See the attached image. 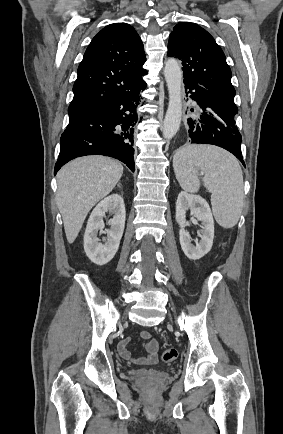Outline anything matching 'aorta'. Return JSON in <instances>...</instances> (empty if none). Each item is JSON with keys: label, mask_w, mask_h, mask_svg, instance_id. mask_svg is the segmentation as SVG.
<instances>
[{"label": "aorta", "mask_w": 283, "mask_h": 434, "mask_svg": "<svg viewBox=\"0 0 283 434\" xmlns=\"http://www.w3.org/2000/svg\"><path fill=\"white\" fill-rule=\"evenodd\" d=\"M164 76L168 87L169 104L164 119L163 137L171 139L178 132L182 119L183 74L176 59L170 58L166 61Z\"/></svg>", "instance_id": "762f6f07"}]
</instances>
